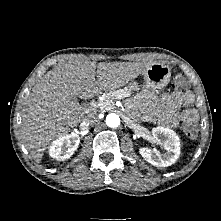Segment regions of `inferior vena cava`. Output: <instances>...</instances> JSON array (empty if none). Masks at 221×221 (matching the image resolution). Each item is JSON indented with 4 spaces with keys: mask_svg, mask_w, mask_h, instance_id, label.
<instances>
[{
    "mask_svg": "<svg viewBox=\"0 0 221 221\" xmlns=\"http://www.w3.org/2000/svg\"><path fill=\"white\" fill-rule=\"evenodd\" d=\"M97 120H98L97 114H90L85 119L87 124H94L95 122H97Z\"/></svg>",
    "mask_w": 221,
    "mask_h": 221,
    "instance_id": "602c4592",
    "label": "inferior vena cava"
}]
</instances>
